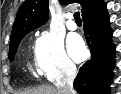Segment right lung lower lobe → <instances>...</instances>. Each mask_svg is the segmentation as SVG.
<instances>
[{"instance_id": "1", "label": "right lung lower lobe", "mask_w": 121, "mask_h": 94, "mask_svg": "<svg viewBox=\"0 0 121 94\" xmlns=\"http://www.w3.org/2000/svg\"><path fill=\"white\" fill-rule=\"evenodd\" d=\"M91 59L80 69L74 87L80 94H109L115 65V46L106 3L82 17Z\"/></svg>"}]
</instances>
